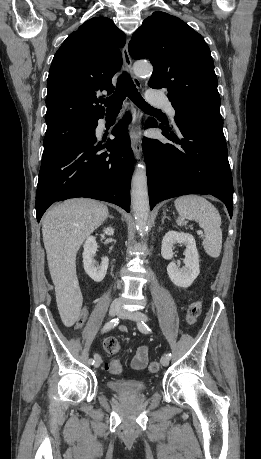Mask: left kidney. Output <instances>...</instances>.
I'll return each mask as SVG.
<instances>
[{
  "instance_id": "1",
  "label": "left kidney",
  "mask_w": 261,
  "mask_h": 459,
  "mask_svg": "<svg viewBox=\"0 0 261 459\" xmlns=\"http://www.w3.org/2000/svg\"><path fill=\"white\" fill-rule=\"evenodd\" d=\"M177 243L184 244L185 266L180 268V262H171L167 266V273L170 280L178 287L187 288L191 286L200 273L199 254L196 248L194 237L189 233L169 231L162 240L161 255L164 259L173 258V246Z\"/></svg>"
}]
</instances>
